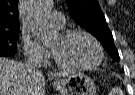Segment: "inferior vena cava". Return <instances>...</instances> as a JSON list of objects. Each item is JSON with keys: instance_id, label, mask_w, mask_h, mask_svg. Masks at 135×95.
I'll list each match as a JSON object with an SVG mask.
<instances>
[{"instance_id": "602c4592", "label": "inferior vena cava", "mask_w": 135, "mask_h": 95, "mask_svg": "<svg viewBox=\"0 0 135 95\" xmlns=\"http://www.w3.org/2000/svg\"><path fill=\"white\" fill-rule=\"evenodd\" d=\"M40 65V60L37 56H32L30 57L27 62L25 63V67L28 69L30 72H34L37 68V66Z\"/></svg>"}]
</instances>
